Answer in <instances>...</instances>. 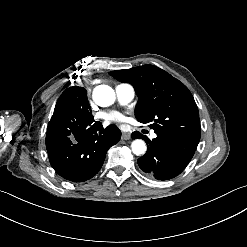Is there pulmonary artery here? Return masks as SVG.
Listing matches in <instances>:
<instances>
[{
  "label": "pulmonary artery",
  "mask_w": 247,
  "mask_h": 247,
  "mask_svg": "<svg viewBox=\"0 0 247 247\" xmlns=\"http://www.w3.org/2000/svg\"><path fill=\"white\" fill-rule=\"evenodd\" d=\"M115 91L118 101L122 104L131 102L136 94L134 86L129 83H121L116 85ZM156 136L157 135L154 132L151 134L152 138H155Z\"/></svg>",
  "instance_id": "1"
}]
</instances>
